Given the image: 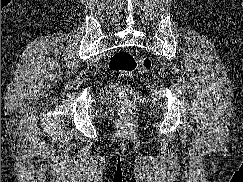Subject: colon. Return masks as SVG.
<instances>
[{
    "label": "colon",
    "mask_w": 243,
    "mask_h": 182,
    "mask_svg": "<svg viewBox=\"0 0 243 182\" xmlns=\"http://www.w3.org/2000/svg\"><path fill=\"white\" fill-rule=\"evenodd\" d=\"M151 60L147 57L136 58L128 51L115 53L109 63L112 72L121 76H132L137 73H145L151 68ZM116 92L119 95L125 109H133L141 100L140 94L125 86H117Z\"/></svg>",
    "instance_id": "1"
}]
</instances>
